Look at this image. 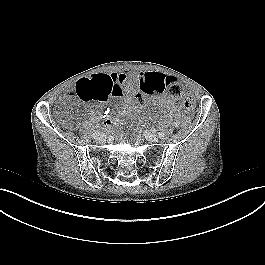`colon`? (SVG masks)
Here are the masks:
<instances>
[{"mask_svg": "<svg viewBox=\"0 0 265 265\" xmlns=\"http://www.w3.org/2000/svg\"><path fill=\"white\" fill-rule=\"evenodd\" d=\"M164 82L167 86L166 92L170 96L179 100L181 108L185 112L192 111L194 107V99L192 96L184 93L183 86L179 80L175 76L167 75L164 79ZM110 94L111 87L109 82L106 79L99 78L92 81L81 79L76 83L71 91L67 92L68 97L77 96L84 101L105 100L110 96ZM142 100L143 98L141 95L136 96V102L133 106L134 110L140 108ZM77 123V119L74 117L66 118V125L69 128H75Z\"/></svg>", "mask_w": 265, "mask_h": 265, "instance_id": "colon-1", "label": "colon"}]
</instances>
